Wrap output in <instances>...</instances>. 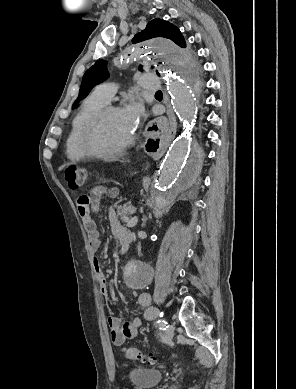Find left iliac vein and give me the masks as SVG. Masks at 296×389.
I'll list each match as a JSON object with an SVG mask.
<instances>
[{
	"label": "left iliac vein",
	"instance_id": "obj_1",
	"mask_svg": "<svg viewBox=\"0 0 296 389\" xmlns=\"http://www.w3.org/2000/svg\"><path fill=\"white\" fill-rule=\"evenodd\" d=\"M173 336H174V326L170 324L165 331V338L167 340H171Z\"/></svg>",
	"mask_w": 296,
	"mask_h": 389
}]
</instances>
